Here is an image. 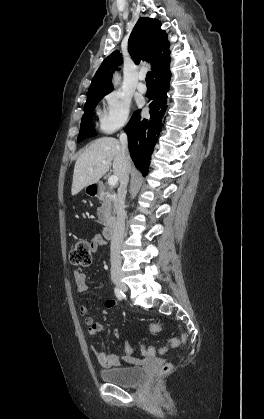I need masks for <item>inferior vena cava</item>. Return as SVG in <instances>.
Segmentation results:
<instances>
[{
	"mask_svg": "<svg viewBox=\"0 0 264 419\" xmlns=\"http://www.w3.org/2000/svg\"><path fill=\"white\" fill-rule=\"evenodd\" d=\"M120 144L123 158V175L118 189L116 202V221L113 226V236L111 239V269H121L120 249L124 238L125 231V210L124 201L126 196L127 184L129 181V172L131 167L130 156L128 151V137L126 133L120 135Z\"/></svg>",
	"mask_w": 264,
	"mask_h": 419,
	"instance_id": "inferior-vena-cava-1",
	"label": "inferior vena cava"
}]
</instances>
